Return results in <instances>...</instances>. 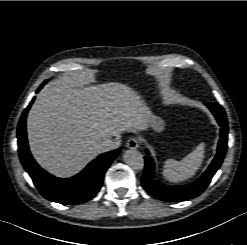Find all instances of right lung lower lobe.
Wrapping results in <instances>:
<instances>
[{
  "mask_svg": "<svg viewBox=\"0 0 247 245\" xmlns=\"http://www.w3.org/2000/svg\"><path fill=\"white\" fill-rule=\"evenodd\" d=\"M42 87L41 85L37 92ZM33 102L34 99L24 110L18 124V150L22 165L44 198L67 205L81 204L91 200L99 192L105 172L121 149L99 155L74 177L60 179L52 176L36 163L29 151L26 134V116Z\"/></svg>",
  "mask_w": 247,
  "mask_h": 245,
  "instance_id": "98d812e1",
  "label": "right lung lower lobe"
}]
</instances>
